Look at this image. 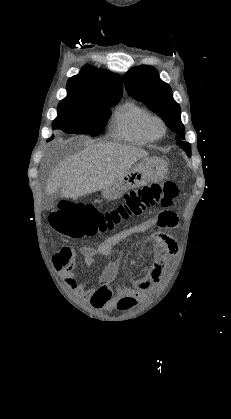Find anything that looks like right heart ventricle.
Here are the masks:
<instances>
[{"instance_id":"right-heart-ventricle-1","label":"right heart ventricle","mask_w":231,"mask_h":419,"mask_svg":"<svg viewBox=\"0 0 231 419\" xmlns=\"http://www.w3.org/2000/svg\"><path fill=\"white\" fill-rule=\"evenodd\" d=\"M150 113L140 105L127 102L117 109L111 131L117 139L134 143L147 144L152 139L146 134L144 123Z\"/></svg>"}]
</instances>
